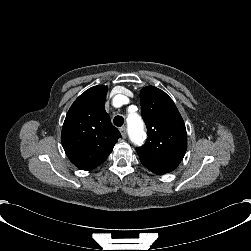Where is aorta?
Returning <instances> with one entry per match:
<instances>
[{
	"mask_svg": "<svg viewBox=\"0 0 251 251\" xmlns=\"http://www.w3.org/2000/svg\"><path fill=\"white\" fill-rule=\"evenodd\" d=\"M127 128L129 137L136 144H140L145 138L143 122L137 114H130L127 117Z\"/></svg>",
	"mask_w": 251,
	"mask_h": 251,
	"instance_id": "aorta-1",
	"label": "aorta"
}]
</instances>
